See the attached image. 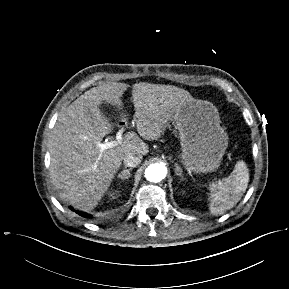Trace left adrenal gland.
<instances>
[{"mask_svg": "<svg viewBox=\"0 0 289 289\" xmlns=\"http://www.w3.org/2000/svg\"><path fill=\"white\" fill-rule=\"evenodd\" d=\"M175 173H176V175L181 177V180H184V178L182 176V169L178 166L177 163H175Z\"/></svg>", "mask_w": 289, "mask_h": 289, "instance_id": "left-adrenal-gland-1", "label": "left adrenal gland"}]
</instances>
